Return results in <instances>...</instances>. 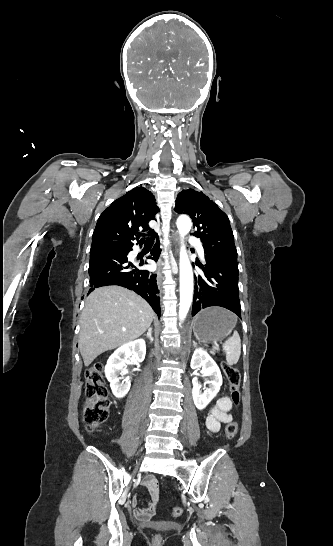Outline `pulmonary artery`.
I'll use <instances>...</instances> for the list:
<instances>
[{
    "label": "pulmonary artery",
    "instance_id": "e3ab8cb5",
    "mask_svg": "<svg viewBox=\"0 0 333 546\" xmlns=\"http://www.w3.org/2000/svg\"><path fill=\"white\" fill-rule=\"evenodd\" d=\"M189 241L196 246V249H197L199 255L203 258L204 257V250H203V247H202L201 242L199 241V239H197L195 237H190ZM139 251H140L139 248L136 249V252H139Z\"/></svg>",
    "mask_w": 333,
    "mask_h": 546
}]
</instances>
